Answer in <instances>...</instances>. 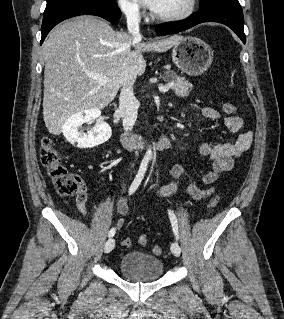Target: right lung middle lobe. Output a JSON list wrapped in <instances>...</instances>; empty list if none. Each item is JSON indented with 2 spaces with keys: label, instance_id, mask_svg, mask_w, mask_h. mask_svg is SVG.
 Masks as SVG:
<instances>
[{
  "label": "right lung middle lobe",
  "instance_id": "obj_1",
  "mask_svg": "<svg viewBox=\"0 0 284 319\" xmlns=\"http://www.w3.org/2000/svg\"><path fill=\"white\" fill-rule=\"evenodd\" d=\"M73 5L112 6L117 4L116 0H47L44 15L49 14L59 8Z\"/></svg>",
  "mask_w": 284,
  "mask_h": 319
}]
</instances>
